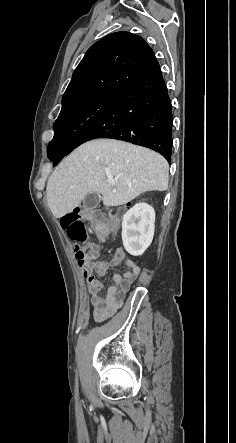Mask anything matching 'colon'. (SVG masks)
Masks as SVG:
<instances>
[{
	"label": "colon",
	"mask_w": 236,
	"mask_h": 443,
	"mask_svg": "<svg viewBox=\"0 0 236 443\" xmlns=\"http://www.w3.org/2000/svg\"><path fill=\"white\" fill-rule=\"evenodd\" d=\"M121 219L118 211L111 212L107 219L94 226L99 236L108 237L110 231L115 228ZM61 225L66 230L70 241L74 245L75 257L78 262H87L97 256V252L89 245V250L85 244L89 239L90 227L83 221L78 212H69L61 217Z\"/></svg>",
	"instance_id": "1"
}]
</instances>
